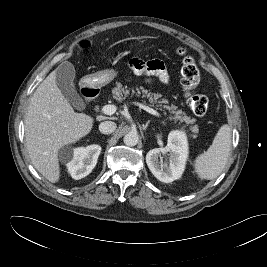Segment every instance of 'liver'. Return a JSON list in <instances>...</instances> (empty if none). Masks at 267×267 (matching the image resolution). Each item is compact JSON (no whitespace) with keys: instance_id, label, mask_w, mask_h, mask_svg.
<instances>
[{"instance_id":"6515ba94","label":"liver","mask_w":267,"mask_h":267,"mask_svg":"<svg viewBox=\"0 0 267 267\" xmlns=\"http://www.w3.org/2000/svg\"><path fill=\"white\" fill-rule=\"evenodd\" d=\"M94 119L74 112L52 71L35 90L25 117L26 148L35 169L51 183L60 178L59 150L85 137Z\"/></svg>"}]
</instances>
